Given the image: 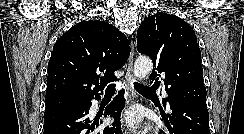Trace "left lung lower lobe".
<instances>
[{
	"instance_id": "1",
	"label": "left lung lower lobe",
	"mask_w": 244,
	"mask_h": 134,
	"mask_svg": "<svg viewBox=\"0 0 244 134\" xmlns=\"http://www.w3.org/2000/svg\"><path fill=\"white\" fill-rule=\"evenodd\" d=\"M172 114L163 118L170 134H210L209 113L204 105L167 98ZM166 107V101L163 102ZM173 125V126H171Z\"/></svg>"
}]
</instances>
